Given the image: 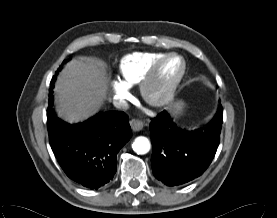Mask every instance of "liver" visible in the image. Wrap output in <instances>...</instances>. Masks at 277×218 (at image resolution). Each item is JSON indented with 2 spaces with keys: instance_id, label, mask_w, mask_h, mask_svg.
Returning <instances> with one entry per match:
<instances>
[{
  "instance_id": "liver-1",
  "label": "liver",
  "mask_w": 277,
  "mask_h": 218,
  "mask_svg": "<svg viewBox=\"0 0 277 218\" xmlns=\"http://www.w3.org/2000/svg\"><path fill=\"white\" fill-rule=\"evenodd\" d=\"M106 93L104 64L80 57L66 64L55 83L58 116L77 123L95 114Z\"/></svg>"
}]
</instances>
